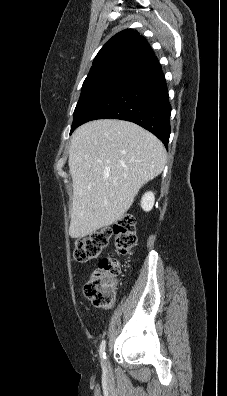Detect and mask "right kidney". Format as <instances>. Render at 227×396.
<instances>
[{
	"instance_id": "1",
	"label": "right kidney",
	"mask_w": 227,
	"mask_h": 396,
	"mask_svg": "<svg viewBox=\"0 0 227 396\" xmlns=\"http://www.w3.org/2000/svg\"><path fill=\"white\" fill-rule=\"evenodd\" d=\"M154 202H155V197L153 192H147L142 197L141 207L144 211L148 212L153 208Z\"/></svg>"
}]
</instances>
